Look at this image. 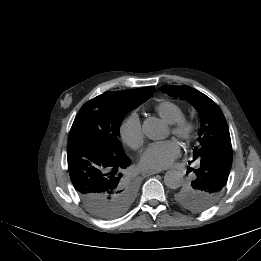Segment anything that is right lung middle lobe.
Listing matches in <instances>:
<instances>
[{
	"mask_svg": "<svg viewBox=\"0 0 261 261\" xmlns=\"http://www.w3.org/2000/svg\"><path fill=\"white\" fill-rule=\"evenodd\" d=\"M146 99L116 100L102 95L85 103L79 110L71 127L68 141L87 139L102 150L124 153L118 140L123 115L145 102ZM136 183L125 176L112 186L98 188L87 200L85 207L95 216L112 219L122 215L133 203Z\"/></svg>",
	"mask_w": 261,
	"mask_h": 261,
	"instance_id": "obj_1",
	"label": "right lung middle lobe"
}]
</instances>
